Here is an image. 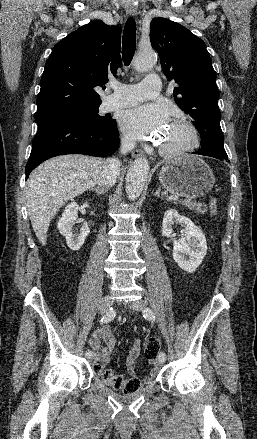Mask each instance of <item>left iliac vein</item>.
I'll return each mask as SVG.
<instances>
[{
  "label": "left iliac vein",
  "instance_id": "obj_1",
  "mask_svg": "<svg viewBox=\"0 0 257 439\" xmlns=\"http://www.w3.org/2000/svg\"><path fill=\"white\" fill-rule=\"evenodd\" d=\"M128 306L136 311H144L145 308V302L143 300H135L131 303L128 304ZM165 361L163 360H158V366H162L164 364Z\"/></svg>",
  "mask_w": 257,
  "mask_h": 439
}]
</instances>
